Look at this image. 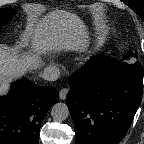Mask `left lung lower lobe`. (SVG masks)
Segmentation results:
<instances>
[{
	"mask_svg": "<svg viewBox=\"0 0 144 144\" xmlns=\"http://www.w3.org/2000/svg\"><path fill=\"white\" fill-rule=\"evenodd\" d=\"M91 58L69 78L66 102L76 144H118L126 135L143 93L142 65Z\"/></svg>",
	"mask_w": 144,
	"mask_h": 144,
	"instance_id": "obj_1",
	"label": "left lung lower lobe"
}]
</instances>
